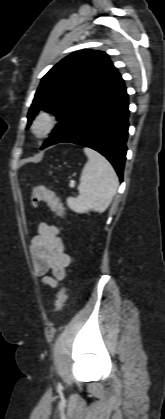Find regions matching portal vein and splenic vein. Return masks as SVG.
Instances as JSON below:
<instances>
[{
	"mask_svg": "<svg viewBox=\"0 0 165 419\" xmlns=\"http://www.w3.org/2000/svg\"><path fill=\"white\" fill-rule=\"evenodd\" d=\"M70 186H72V187H73V186H74V182H70Z\"/></svg>",
	"mask_w": 165,
	"mask_h": 419,
	"instance_id": "portal-vein-and-splenic-vein-1",
	"label": "portal vein and splenic vein"
}]
</instances>
